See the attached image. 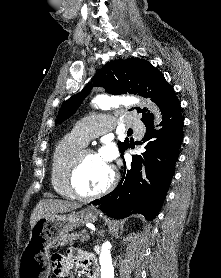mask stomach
Instances as JSON below:
<instances>
[{
    "instance_id": "stomach-1",
    "label": "stomach",
    "mask_w": 221,
    "mask_h": 278,
    "mask_svg": "<svg viewBox=\"0 0 221 278\" xmlns=\"http://www.w3.org/2000/svg\"><path fill=\"white\" fill-rule=\"evenodd\" d=\"M98 212L92 208L67 215L51 214L40 218L30 230L29 240L21 254L20 278H51L47 259L49 249L75 228L95 222Z\"/></svg>"
}]
</instances>
